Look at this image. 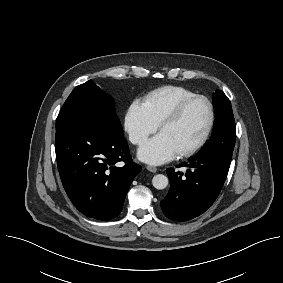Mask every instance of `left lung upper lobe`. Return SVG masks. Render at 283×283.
Segmentation results:
<instances>
[{"label":"left lung upper lobe","mask_w":283,"mask_h":283,"mask_svg":"<svg viewBox=\"0 0 283 283\" xmlns=\"http://www.w3.org/2000/svg\"><path fill=\"white\" fill-rule=\"evenodd\" d=\"M213 104L216 114L213 133L200 153L216 152L232 158L236 128L230 100L222 91L216 90L213 93Z\"/></svg>","instance_id":"5c2ea615"}]
</instances>
